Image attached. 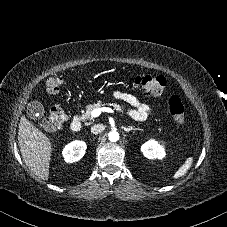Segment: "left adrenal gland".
<instances>
[{"instance_id": "left-adrenal-gland-1", "label": "left adrenal gland", "mask_w": 227, "mask_h": 227, "mask_svg": "<svg viewBox=\"0 0 227 227\" xmlns=\"http://www.w3.org/2000/svg\"><path fill=\"white\" fill-rule=\"evenodd\" d=\"M124 130L126 131V133H129L130 131H136V130H140L139 128H135V127H128V128H124Z\"/></svg>"}]
</instances>
